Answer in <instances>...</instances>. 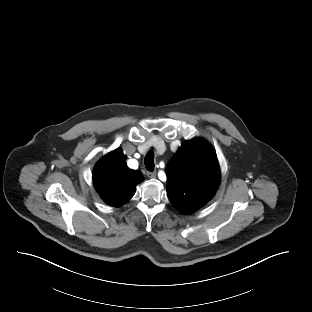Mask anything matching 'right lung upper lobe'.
Here are the masks:
<instances>
[{
    "mask_svg": "<svg viewBox=\"0 0 312 312\" xmlns=\"http://www.w3.org/2000/svg\"><path fill=\"white\" fill-rule=\"evenodd\" d=\"M138 170L126 165V157L116 149L103 157L95 166L93 182L101 198L110 206L118 207L132 198L136 185L143 181Z\"/></svg>",
    "mask_w": 312,
    "mask_h": 312,
    "instance_id": "obj_1",
    "label": "right lung upper lobe"
}]
</instances>
